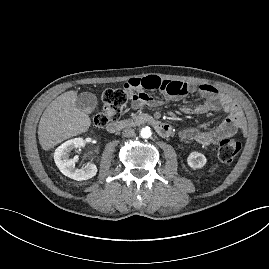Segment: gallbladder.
<instances>
[{
	"instance_id": "obj_1",
	"label": "gallbladder",
	"mask_w": 269,
	"mask_h": 269,
	"mask_svg": "<svg viewBox=\"0 0 269 269\" xmlns=\"http://www.w3.org/2000/svg\"><path fill=\"white\" fill-rule=\"evenodd\" d=\"M98 105L97 97L91 92H83L78 95L76 106L86 113H91Z\"/></svg>"
}]
</instances>
